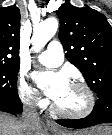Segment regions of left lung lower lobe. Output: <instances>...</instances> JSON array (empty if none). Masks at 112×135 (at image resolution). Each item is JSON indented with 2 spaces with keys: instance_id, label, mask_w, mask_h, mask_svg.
<instances>
[{
  "instance_id": "1",
  "label": "left lung lower lobe",
  "mask_w": 112,
  "mask_h": 135,
  "mask_svg": "<svg viewBox=\"0 0 112 135\" xmlns=\"http://www.w3.org/2000/svg\"><path fill=\"white\" fill-rule=\"evenodd\" d=\"M57 123L68 128H87L97 124L112 123V95L99 98L87 117L76 120L59 119Z\"/></svg>"
}]
</instances>
